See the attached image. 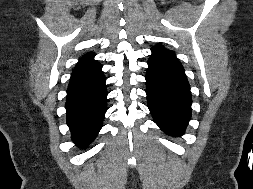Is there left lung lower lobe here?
Instances as JSON below:
<instances>
[{
  "instance_id": "0a47b994",
  "label": "left lung lower lobe",
  "mask_w": 253,
  "mask_h": 189,
  "mask_svg": "<svg viewBox=\"0 0 253 189\" xmlns=\"http://www.w3.org/2000/svg\"><path fill=\"white\" fill-rule=\"evenodd\" d=\"M148 108L166 134L181 136L191 119V92L184 69L163 60L148 61Z\"/></svg>"
}]
</instances>
